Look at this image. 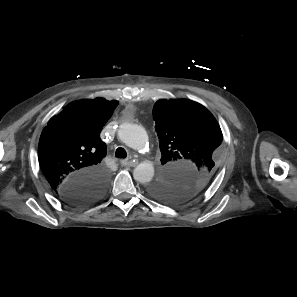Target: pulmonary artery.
<instances>
[{"label":"pulmonary artery","instance_id":"pulmonary-artery-1","mask_svg":"<svg viewBox=\"0 0 297 297\" xmlns=\"http://www.w3.org/2000/svg\"><path fill=\"white\" fill-rule=\"evenodd\" d=\"M123 140L126 141V142L128 141L126 138H123Z\"/></svg>","mask_w":297,"mask_h":297}]
</instances>
